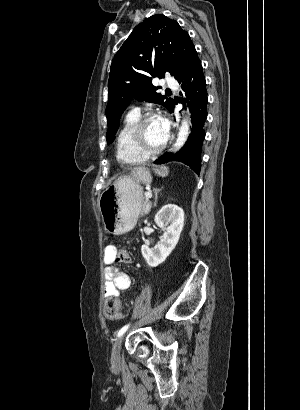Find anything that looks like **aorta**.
<instances>
[{
	"label": "aorta",
	"mask_w": 300,
	"mask_h": 410,
	"mask_svg": "<svg viewBox=\"0 0 300 410\" xmlns=\"http://www.w3.org/2000/svg\"><path fill=\"white\" fill-rule=\"evenodd\" d=\"M189 135V124L187 120H183L179 128L178 136L175 144L173 145V152L178 151L186 142Z\"/></svg>",
	"instance_id": "1"
}]
</instances>
